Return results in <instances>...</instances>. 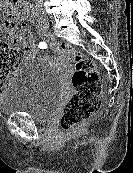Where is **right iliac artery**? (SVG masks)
Returning a JSON list of instances; mask_svg holds the SVG:
<instances>
[{"instance_id":"right-iliac-artery-1","label":"right iliac artery","mask_w":133,"mask_h":173,"mask_svg":"<svg viewBox=\"0 0 133 173\" xmlns=\"http://www.w3.org/2000/svg\"><path fill=\"white\" fill-rule=\"evenodd\" d=\"M32 16H34L36 18L35 20H36V24H37V28H38L40 36L44 39L47 38L48 37V32L46 30V27L44 26L41 19L37 16V14L35 13L33 8H32Z\"/></svg>"}]
</instances>
